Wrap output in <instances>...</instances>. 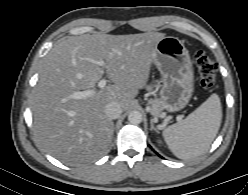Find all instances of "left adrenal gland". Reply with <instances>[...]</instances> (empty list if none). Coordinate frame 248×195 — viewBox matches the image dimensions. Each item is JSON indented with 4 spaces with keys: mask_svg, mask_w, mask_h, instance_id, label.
Returning a JSON list of instances; mask_svg holds the SVG:
<instances>
[{
    "mask_svg": "<svg viewBox=\"0 0 248 195\" xmlns=\"http://www.w3.org/2000/svg\"><path fill=\"white\" fill-rule=\"evenodd\" d=\"M150 126H151L150 130H155L156 132H158L157 128L153 124V119L150 120Z\"/></svg>",
    "mask_w": 248,
    "mask_h": 195,
    "instance_id": "a2214340",
    "label": "left adrenal gland"
}]
</instances>
